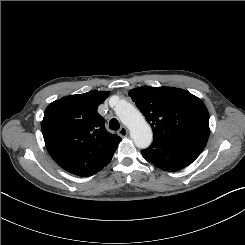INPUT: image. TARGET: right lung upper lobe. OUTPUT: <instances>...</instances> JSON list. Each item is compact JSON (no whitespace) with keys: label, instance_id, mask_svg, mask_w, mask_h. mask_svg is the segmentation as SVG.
I'll list each match as a JSON object with an SVG mask.
<instances>
[{"label":"right lung upper lobe","instance_id":"right-lung-upper-lobe-1","mask_svg":"<svg viewBox=\"0 0 245 245\" xmlns=\"http://www.w3.org/2000/svg\"><path fill=\"white\" fill-rule=\"evenodd\" d=\"M109 91H89L49 104L41 123L46 148L64 170L91 176L112 159L121 138L109 133L97 108Z\"/></svg>","mask_w":245,"mask_h":245}]
</instances>
